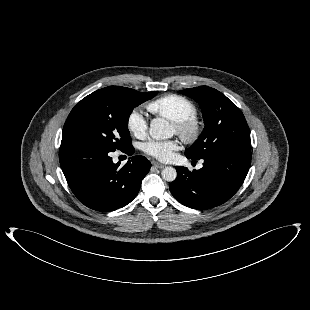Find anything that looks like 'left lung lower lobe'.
<instances>
[{"instance_id":"left-lung-lower-lobe-1","label":"left lung lower lobe","mask_w":310,"mask_h":310,"mask_svg":"<svg viewBox=\"0 0 310 310\" xmlns=\"http://www.w3.org/2000/svg\"><path fill=\"white\" fill-rule=\"evenodd\" d=\"M203 160V167L192 172L177 166V178L169 187L180 203L197 210L219 206L238 191L248 173L251 154L221 152Z\"/></svg>"}]
</instances>
